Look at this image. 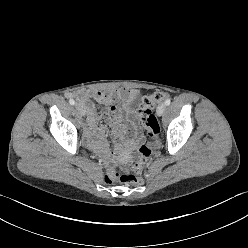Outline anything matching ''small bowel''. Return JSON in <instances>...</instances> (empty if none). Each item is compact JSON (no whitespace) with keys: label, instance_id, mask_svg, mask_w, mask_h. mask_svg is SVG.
Instances as JSON below:
<instances>
[{"label":"small bowel","instance_id":"c3829d8e","mask_svg":"<svg viewBox=\"0 0 248 248\" xmlns=\"http://www.w3.org/2000/svg\"><path fill=\"white\" fill-rule=\"evenodd\" d=\"M81 101L88 113L84 129L85 143L89 149L106 156H117L125 159L143 142V134L132 112L122 102H129L137 96V91L130 88H119L107 92L84 90L74 94ZM92 100L104 105L98 111ZM99 120L103 124L97 126ZM112 137V149L108 136Z\"/></svg>","mask_w":248,"mask_h":248}]
</instances>
